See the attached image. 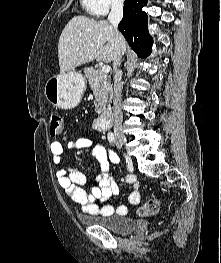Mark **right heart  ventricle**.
<instances>
[{
	"label": "right heart ventricle",
	"instance_id": "e07e8e85",
	"mask_svg": "<svg viewBox=\"0 0 221 263\" xmlns=\"http://www.w3.org/2000/svg\"><path fill=\"white\" fill-rule=\"evenodd\" d=\"M83 7L91 13V0H81Z\"/></svg>",
	"mask_w": 221,
	"mask_h": 263
}]
</instances>
